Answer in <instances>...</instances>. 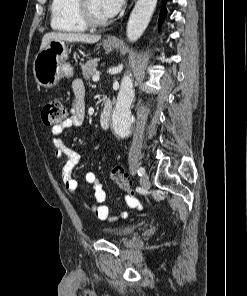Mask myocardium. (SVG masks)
Segmentation results:
<instances>
[{
    "instance_id": "f54148a6",
    "label": "myocardium",
    "mask_w": 247,
    "mask_h": 296,
    "mask_svg": "<svg viewBox=\"0 0 247 296\" xmlns=\"http://www.w3.org/2000/svg\"><path fill=\"white\" fill-rule=\"evenodd\" d=\"M76 13L78 19L86 27H103L109 23L108 19L97 20L92 17L88 8V0H77Z\"/></svg>"
}]
</instances>
